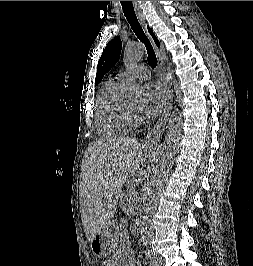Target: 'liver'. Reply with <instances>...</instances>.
I'll return each instance as SVG.
<instances>
[{
  "label": "liver",
  "instance_id": "obj_1",
  "mask_svg": "<svg viewBox=\"0 0 253 266\" xmlns=\"http://www.w3.org/2000/svg\"><path fill=\"white\" fill-rule=\"evenodd\" d=\"M152 145L133 137L93 141L87 147L81 173V218L91 242L117 210L122 187L140 169Z\"/></svg>",
  "mask_w": 253,
  "mask_h": 266
}]
</instances>
